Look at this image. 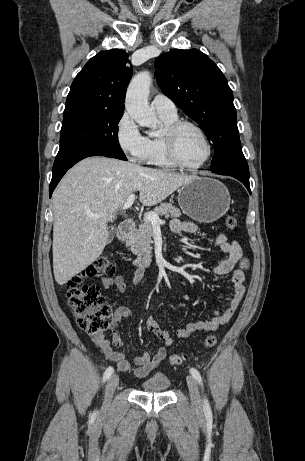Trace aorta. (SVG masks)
I'll return each mask as SVG.
<instances>
[{
  "instance_id": "obj_1",
  "label": "aorta",
  "mask_w": 305,
  "mask_h": 461,
  "mask_svg": "<svg viewBox=\"0 0 305 461\" xmlns=\"http://www.w3.org/2000/svg\"><path fill=\"white\" fill-rule=\"evenodd\" d=\"M151 82L150 73L146 71L133 77L127 89L125 108L140 126L156 129L160 122L148 103Z\"/></svg>"
}]
</instances>
